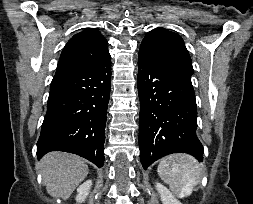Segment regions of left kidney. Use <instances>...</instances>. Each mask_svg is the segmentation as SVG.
I'll list each match as a JSON object with an SVG mask.
<instances>
[{"label": "left kidney", "mask_w": 253, "mask_h": 204, "mask_svg": "<svg viewBox=\"0 0 253 204\" xmlns=\"http://www.w3.org/2000/svg\"><path fill=\"white\" fill-rule=\"evenodd\" d=\"M155 187L160 194L163 204H182L176 199L174 194L161 183H156Z\"/></svg>", "instance_id": "1"}]
</instances>
